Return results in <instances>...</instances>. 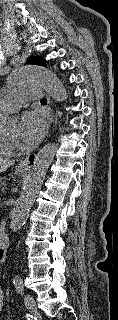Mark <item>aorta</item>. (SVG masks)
Returning <instances> with one entry per match:
<instances>
[{
  "label": "aorta",
  "mask_w": 118,
  "mask_h": 320,
  "mask_svg": "<svg viewBox=\"0 0 118 320\" xmlns=\"http://www.w3.org/2000/svg\"><path fill=\"white\" fill-rule=\"evenodd\" d=\"M9 80L12 84L19 85L30 81L40 83L50 96L57 102L67 100V92L63 83L50 70L45 67L30 65L15 69L10 75ZM0 125L4 128H13L16 121L10 117L0 120ZM57 152L55 143L46 144L37 154L32 172L30 173L20 197L17 200L10 228L13 231L20 229L27 221L29 211L35 201L36 195L40 190L45 179L47 170L51 165Z\"/></svg>",
  "instance_id": "1"
}]
</instances>
